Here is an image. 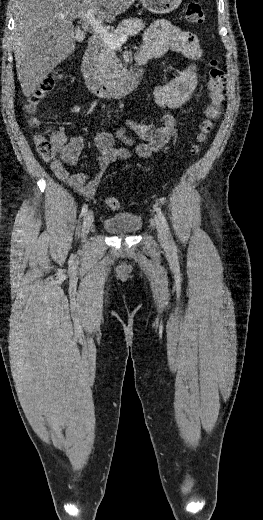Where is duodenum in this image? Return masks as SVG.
Returning a JSON list of instances; mask_svg holds the SVG:
<instances>
[{"label":"duodenum","mask_w":263,"mask_h":520,"mask_svg":"<svg viewBox=\"0 0 263 520\" xmlns=\"http://www.w3.org/2000/svg\"><path fill=\"white\" fill-rule=\"evenodd\" d=\"M98 49V39L91 37L82 57L81 71L89 90L97 96L108 97H121L133 91L143 78V66L150 56L138 51L134 56V67L121 78L111 80L103 77L96 66Z\"/></svg>","instance_id":"obj_1"}]
</instances>
